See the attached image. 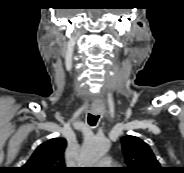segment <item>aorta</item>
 <instances>
[{
    "label": "aorta",
    "mask_w": 184,
    "mask_h": 173,
    "mask_svg": "<svg viewBox=\"0 0 184 173\" xmlns=\"http://www.w3.org/2000/svg\"><path fill=\"white\" fill-rule=\"evenodd\" d=\"M109 150V142L102 137H91L85 140L79 156V163L91 167Z\"/></svg>",
    "instance_id": "762f6f07"
}]
</instances>
